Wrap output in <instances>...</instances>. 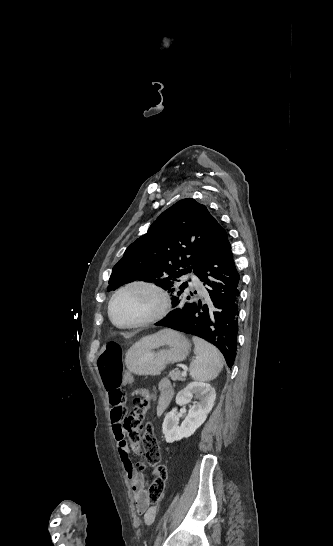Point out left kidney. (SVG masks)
I'll return each mask as SVG.
<instances>
[{"mask_svg": "<svg viewBox=\"0 0 333 546\" xmlns=\"http://www.w3.org/2000/svg\"><path fill=\"white\" fill-rule=\"evenodd\" d=\"M195 397V401L190 406L186 418L178 426L179 416L177 408H173L166 414L162 425V431L167 443L179 441L188 438L205 422L207 415L212 410L216 399L214 388L210 384L202 382H191L183 390L178 392L176 403L179 406L187 405Z\"/></svg>", "mask_w": 333, "mask_h": 546, "instance_id": "left-kidney-1", "label": "left kidney"}]
</instances>
